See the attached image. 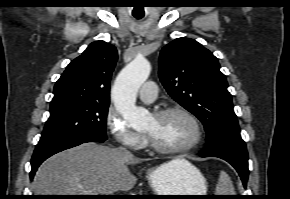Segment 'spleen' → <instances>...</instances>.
Listing matches in <instances>:
<instances>
[{"instance_id": "spleen-1", "label": "spleen", "mask_w": 290, "mask_h": 199, "mask_svg": "<svg viewBox=\"0 0 290 199\" xmlns=\"http://www.w3.org/2000/svg\"><path fill=\"white\" fill-rule=\"evenodd\" d=\"M216 195H235L234 187L229 175L221 171L216 186Z\"/></svg>"}]
</instances>
